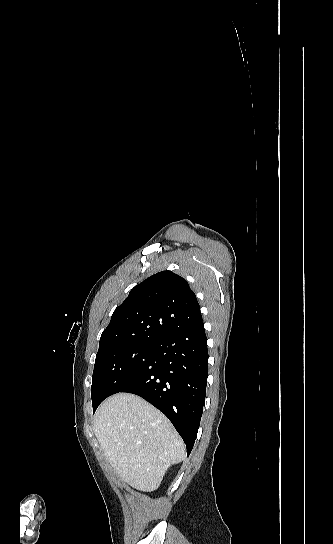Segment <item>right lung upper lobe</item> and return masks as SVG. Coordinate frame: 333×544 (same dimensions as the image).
I'll list each match as a JSON object with an SVG mask.
<instances>
[{
    "label": "right lung upper lobe",
    "instance_id": "1",
    "mask_svg": "<svg viewBox=\"0 0 333 544\" xmlns=\"http://www.w3.org/2000/svg\"><path fill=\"white\" fill-rule=\"evenodd\" d=\"M201 320L188 282L172 271H161L135 286L115 309L101 335L98 353L131 343L156 342Z\"/></svg>",
    "mask_w": 333,
    "mask_h": 544
}]
</instances>
